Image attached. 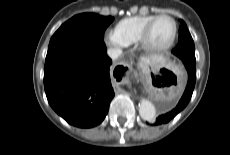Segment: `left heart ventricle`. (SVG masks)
Returning a JSON list of instances; mask_svg holds the SVG:
<instances>
[{
  "label": "left heart ventricle",
  "instance_id": "left-heart-ventricle-1",
  "mask_svg": "<svg viewBox=\"0 0 230 155\" xmlns=\"http://www.w3.org/2000/svg\"><path fill=\"white\" fill-rule=\"evenodd\" d=\"M174 25L168 18L159 19L152 27L149 41L154 46H162L169 42Z\"/></svg>",
  "mask_w": 230,
  "mask_h": 155
}]
</instances>
